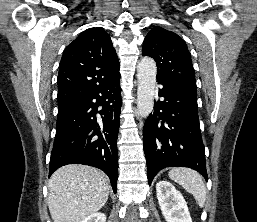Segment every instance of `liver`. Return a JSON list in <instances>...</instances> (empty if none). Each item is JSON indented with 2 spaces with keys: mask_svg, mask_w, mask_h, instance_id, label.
<instances>
[{
  "mask_svg": "<svg viewBox=\"0 0 257 222\" xmlns=\"http://www.w3.org/2000/svg\"><path fill=\"white\" fill-rule=\"evenodd\" d=\"M48 207L54 222H81L100 210L109 196V180L86 165H66L48 181Z\"/></svg>",
  "mask_w": 257,
  "mask_h": 222,
  "instance_id": "1",
  "label": "liver"
}]
</instances>
